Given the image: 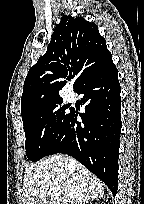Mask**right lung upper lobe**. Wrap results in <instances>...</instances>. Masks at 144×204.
Listing matches in <instances>:
<instances>
[{
  "instance_id": "cb5924a9",
  "label": "right lung upper lobe",
  "mask_w": 144,
  "mask_h": 204,
  "mask_svg": "<svg viewBox=\"0 0 144 204\" xmlns=\"http://www.w3.org/2000/svg\"><path fill=\"white\" fill-rule=\"evenodd\" d=\"M112 59L98 26L84 18L63 16L55 27L46 53L34 64L25 79L21 97L22 117L60 97L59 91L73 75L74 91Z\"/></svg>"
}]
</instances>
